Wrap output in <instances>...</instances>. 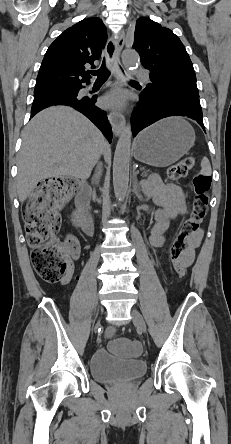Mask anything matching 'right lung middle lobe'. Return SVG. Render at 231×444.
Here are the masks:
<instances>
[{"label":"right lung middle lobe","instance_id":"obj_1","mask_svg":"<svg viewBox=\"0 0 231 444\" xmlns=\"http://www.w3.org/2000/svg\"><path fill=\"white\" fill-rule=\"evenodd\" d=\"M54 90L75 91V90H78V85H60V86L54 87L50 91H54Z\"/></svg>","mask_w":231,"mask_h":444}]
</instances>
